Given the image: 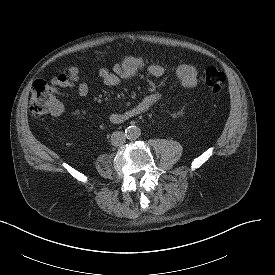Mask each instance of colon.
Masks as SVG:
<instances>
[{
  "mask_svg": "<svg viewBox=\"0 0 275 275\" xmlns=\"http://www.w3.org/2000/svg\"><path fill=\"white\" fill-rule=\"evenodd\" d=\"M204 81L212 93H218L225 85L226 76L221 70L215 67H209L205 71ZM57 105V91L54 86L45 80L34 81L31 88V114L34 117L45 116Z\"/></svg>",
  "mask_w": 275,
  "mask_h": 275,
  "instance_id": "colon-1",
  "label": "colon"
}]
</instances>
